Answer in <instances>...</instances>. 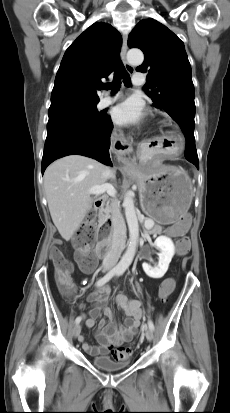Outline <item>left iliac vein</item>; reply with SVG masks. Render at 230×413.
<instances>
[{"label": "left iliac vein", "mask_w": 230, "mask_h": 413, "mask_svg": "<svg viewBox=\"0 0 230 413\" xmlns=\"http://www.w3.org/2000/svg\"><path fill=\"white\" fill-rule=\"evenodd\" d=\"M145 336L147 338L148 341H152L153 340V331L150 328H147L145 330Z\"/></svg>", "instance_id": "left-iliac-vein-1"}]
</instances>
